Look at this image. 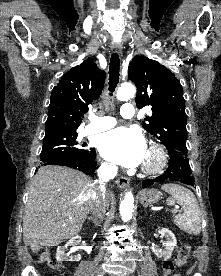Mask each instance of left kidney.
<instances>
[{
    "label": "left kidney",
    "mask_w": 221,
    "mask_h": 276,
    "mask_svg": "<svg viewBox=\"0 0 221 276\" xmlns=\"http://www.w3.org/2000/svg\"><path fill=\"white\" fill-rule=\"evenodd\" d=\"M158 233L166 239L164 243L165 250L161 251L156 249L155 247H152V251L158 258H163L164 260L169 259L172 256V251L174 247L177 245L176 238L174 234L167 228L158 230Z\"/></svg>",
    "instance_id": "5707ae66"
}]
</instances>
